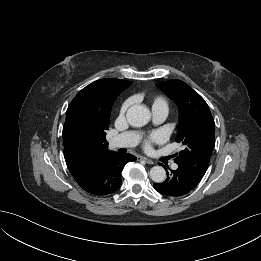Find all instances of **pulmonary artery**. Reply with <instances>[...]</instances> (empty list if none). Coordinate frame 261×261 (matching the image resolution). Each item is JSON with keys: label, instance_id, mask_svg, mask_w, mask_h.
<instances>
[{"label": "pulmonary artery", "instance_id": "1", "mask_svg": "<svg viewBox=\"0 0 261 261\" xmlns=\"http://www.w3.org/2000/svg\"><path fill=\"white\" fill-rule=\"evenodd\" d=\"M167 113L164 111L153 113L154 121L160 123L164 121ZM138 135L135 133H124L110 140L109 145L111 148L118 147H132L138 142ZM173 168H177V165H174Z\"/></svg>", "mask_w": 261, "mask_h": 261}]
</instances>
